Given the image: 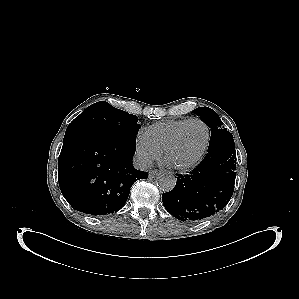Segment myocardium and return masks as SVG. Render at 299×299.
I'll list each match as a JSON object with an SVG mask.
<instances>
[{"label":"myocardium","instance_id":"f54148a6","mask_svg":"<svg viewBox=\"0 0 299 299\" xmlns=\"http://www.w3.org/2000/svg\"><path fill=\"white\" fill-rule=\"evenodd\" d=\"M191 123H199L204 127L206 135H205V141H204L203 147H202L201 151L199 152V154L189 163H186V164L175 163L170 160L171 151L178 143L180 136H181L182 132L184 131V129ZM209 142H210V130H209V127L207 126V124L198 118L188 119L175 131V133L173 134V136L167 143L166 147L164 148L165 160L170 166L174 167L177 170L189 171V170L193 169L194 167H196L202 161V159L204 158V155L208 149Z\"/></svg>","mask_w":299,"mask_h":299}]
</instances>
